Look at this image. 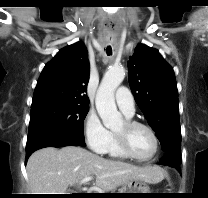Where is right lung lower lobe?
I'll use <instances>...</instances> for the list:
<instances>
[{"instance_id": "obj_1", "label": "right lung lower lobe", "mask_w": 208, "mask_h": 198, "mask_svg": "<svg viewBox=\"0 0 208 198\" xmlns=\"http://www.w3.org/2000/svg\"><path fill=\"white\" fill-rule=\"evenodd\" d=\"M85 146L84 139L65 131H48L29 137L26 144V161L36 150L45 147Z\"/></svg>"}]
</instances>
